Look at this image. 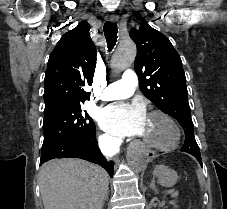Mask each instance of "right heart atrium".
Returning <instances> with one entry per match:
<instances>
[{"instance_id":"1","label":"right heart atrium","mask_w":227,"mask_h":209,"mask_svg":"<svg viewBox=\"0 0 227 209\" xmlns=\"http://www.w3.org/2000/svg\"><path fill=\"white\" fill-rule=\"evenodd\" d=\"M99 144L103 152L113 153L119 149L121 145V139L115 135L105 133L100 135Z\"/></svg>"}]
</instances>
